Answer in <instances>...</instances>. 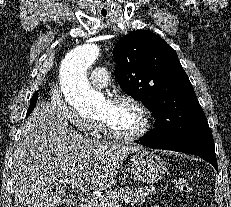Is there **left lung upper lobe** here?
I'll list each match as a JSON object with an SVG mask.
<instances>
[{
	"mask_svg": "<svg viewBox=\"0 0 231 207\" xmlns=\"http://www.w3.org/2000/svg\"><path fill=\"white\" fill-rule=\"evenodd\" d=\"M113 56L121 89L156 119L155 129L143 138L163 145L212 135L177 53L162 38L148 30L134 31L116 43Z\"/></svg>",
	"mask_w": 231,
	"mask_h": 207,
	"instance_id": "5c2ea615",
	"label": "left lung upper lobe"
}]
</instances>
